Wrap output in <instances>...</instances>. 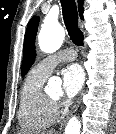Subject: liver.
Listing matches in <instances>:
<instances>
[{
	"mask_svg": "<svg viewBox=\"0 0 116 134\" xmlns=\"http://www.w3.org/2000/svg\"><path fill=\"white\" fill-rule=\"evenodd\" d=\"M47 134H52V132L50 131L49 133H47Z\"/></svg>",
	"mask_w": 116,
	"mask_h": 134,
	"instance_id": "liver-1",
	"label": "liver"
}]
</instances>
